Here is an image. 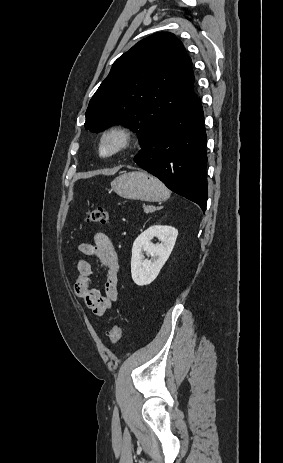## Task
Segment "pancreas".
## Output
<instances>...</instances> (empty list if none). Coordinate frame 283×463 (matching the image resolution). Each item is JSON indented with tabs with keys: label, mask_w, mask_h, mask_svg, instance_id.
<instances>
[{
	"label": "pancreas",
	"mask_w": 283,
	"mask_h": 463,
	"mask_svg": "<svg viewBox=\"0 0 283 463\" xmlns=\"http://www.w3.org/2000/svg\"><path fill=\"white\" fill-rule=\"evenodd\" d=\"M143 209L145 213H152L156 210L155 208H153V206H143Z\"/></svg>",
	"instance_id": "obj_1"
}]
</instances>
